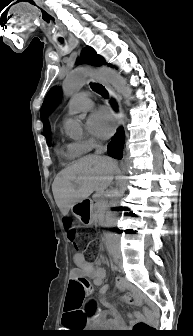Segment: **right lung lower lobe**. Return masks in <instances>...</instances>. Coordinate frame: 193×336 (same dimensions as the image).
<instances>
[{"instance_id":"obj_1","label":"right lung lower lobe","mask_w":193,"mask_h":336,"mask_svg":"<svg viewBox=\"0 0 193 336\" xmlns=\"http://www.w3.org/2000/svg\"><path fill=\"white\" fill-rule=\"evenodd\" d=\"M123 145H124V132L122 129H119L117 134L108 144L107 152L109 156L115 159H121L123 156Z\"/></svg>"}]
</instances>
